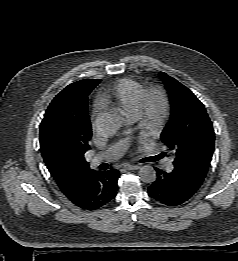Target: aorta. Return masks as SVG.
Instances as JSON below:
<instances>
[{
  "label": "aorta",
  "mask_w": 238,
  "mask_h": 261,
  "mask_svg": "<svg viewBox=\"0 0 238 261\" xmlns=\"http://www.w3.org/2000/svg\"><path fill=\"white\" fill-rule=\"evenodd\" d=\"M123 123L124 120L119 114L115 112L103 113L97 119V131L99 134L108 137L115 134ZM138 175L140 180L145 183H152L156 180V171L150 165L142 166Z\"/></svg>",
  "instance_id": "aorta-1"
}]
</instances>
